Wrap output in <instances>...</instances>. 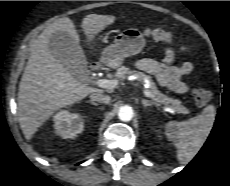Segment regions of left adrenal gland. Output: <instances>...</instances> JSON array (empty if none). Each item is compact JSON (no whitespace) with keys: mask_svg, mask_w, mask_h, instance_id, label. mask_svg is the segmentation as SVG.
<instances>
[{"mask_svg":"<svg viewBox=\"0 0 230 186\" xmlns=\"http://www.w3.org/2000/svg\"><path fill=\"white\" fill-rule=\"evenodd\" d=\"M141 102H142V104L144 106V109H146V107H148V106L156 105L155 102H152V101L146 100V99H142Z\"/></svg>","mask_w":230,"mask_h":186,"instance_id":"1","label":"left adrenal gland"}]
</instances>
